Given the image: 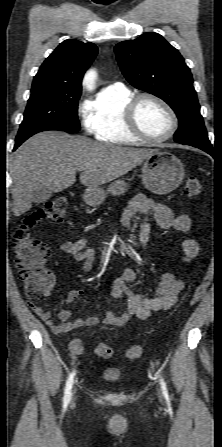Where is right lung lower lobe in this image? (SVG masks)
I'll return each instance as SVG.
<instances>
[{"label":"right lung lower lobe","mask_w":222,"mask_h":447,"mask_svg":"<svg viewBox=\"0 0 222 447\" xmlns=\"http://www.w3.org/2000/svg\"><path fill=\"white\" fill-rule=\"evenodd\" d=\"M18 146H19V145H16V144H15V148H14V149H16Z\"/></svg>","instance_id":"right-lung-lower-lobe-1"}]
</instances>
